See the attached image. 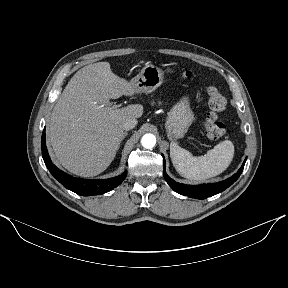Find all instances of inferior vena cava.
<instances>
[{
  "label": "inferior vena cava",
  "instance_id": "obj_1",
  "mask_svg": "<svg viewBox=\"0 0 288 288\" xmlns=\"http://www.w3.org/2000/svg\"><path fill=\"white\" fill-rule=\"evenodd\" d=\"M138 121L136 118H129L123 124V129L128 131L133 129L137 125Z\"/></svg>",
  "mask_w": 288,
  "mask_h": 288
}]
</instances>
